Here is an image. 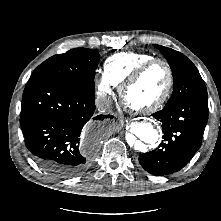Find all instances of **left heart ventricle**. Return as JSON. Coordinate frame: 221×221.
<instances>
[{"label": "left heart ventricle", "instance_id": "b2bd125f", "mask_svg": "<svg viewBox=\"0 0 221 221\" xmlns=\"http://www.w3.org/2000/svg\"><path fill=\"white\" fill-rule=\"evenodd\" d=\"M167 82L166 69L160 64L154 65L128 90L127 99L134 106H147L164 93Z\"/></svg>", "mask_w": 221, "mask_h": 221}]
</instances>
